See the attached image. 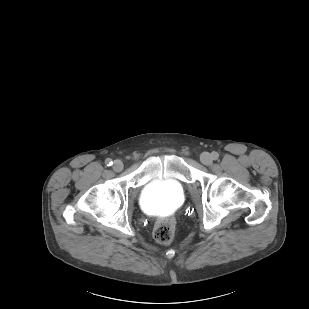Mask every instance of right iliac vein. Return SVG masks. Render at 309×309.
<instances>
[{"instance_id": "1", "label": "right iliac vein", "mask_w": 309, "mask_h": 309, "mask_svg": "<svg viewBox=\"0 0 309 309\" xmlns=\"http://www.w3.org/2000/svg\"><path fill=\"white\" fill-rule=\"evenodd\" d=\"M112 167L114 171L120 172L123 170L124 165L121 160H115Z\"/></svg>"}]
</instances>
